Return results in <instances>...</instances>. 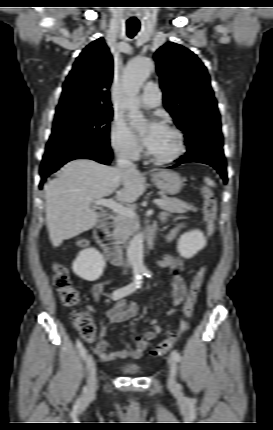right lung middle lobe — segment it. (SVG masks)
<instances>
[{"instance_id": "1", "label": "right lung middle lobe", "mask_w": 273, "mask_h": 430, "mask_svg": "<svg viewBox=\"0 0 273 430\" xmlns=\"http://www.w3.org/2000/svg\"><path fill=\"white\" fill-rule=\"evenodd\" d=\"M112 109L70 106L56 110L43 162L81 150H110Z\"/></svg>"}]
</instances>
